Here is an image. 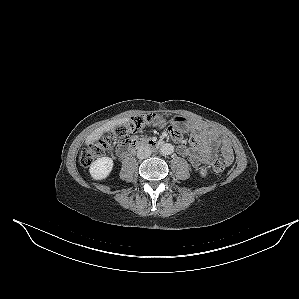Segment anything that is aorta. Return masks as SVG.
<instances>
[{"mask_svg":"<svg viewBox=\"0 0 299 299\" xmlns=\"http://www.w3.org/2000/svg\"><path fill=\"white\" fill-rule=\"evenodd\" d=\"M160 150L163 155H170L174 152V146L172 144L166 143L162 145Z\"/></svg>","mask_w":299,"mask_h":299,"instance_id":"aorta-1","label":"aorta"}]
</instances>
